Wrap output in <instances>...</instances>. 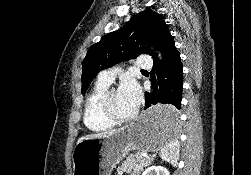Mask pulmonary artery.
Wrapping results in <instances>:
<instances>
[{"label":"pulmonary artery","instance_id":"obj_1","mask_svg":"<svg viewBox=\"0 0 251 175\" xmlns=\"http://www.w3.org/2000/svg\"><path fill=\"white\" fill-rule=\"evenodd\" d=\"M133 67H141L142 70H151L154 67L153 58L151 55H143L142 58H134ZM115 69H109L101 72L98 76V80L111 84L115 78Z\"/></svg>","mask_w":251,"mask_h":175}]
</instances>
